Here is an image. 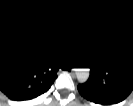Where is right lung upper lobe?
<instances>
[{
	"label": "right lung upper lobe",
	"instance_id": "obj_1",
	"mask_svg": "<svg viewBox=\"0 0 133 106\" xmlns=\"http://www.w3.org/2000/svg\"><path fill=\"white\" fill-rule=\"evenodd\" d=\"M58 70L44 44L20 41L0 55V90L14 101L33 99L49 90Z\"/></svg>",
	"mask_w": 133,
	"mask_h": 106
}]
</instances>
